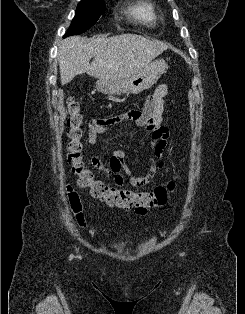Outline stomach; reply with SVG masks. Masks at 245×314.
Segmentation results:
<instances>
[{"instance_id":"obj_1","label":"stomach","mask_w":245,"mask_h":314,"mask_svg":"<svg viewBox=\"0 0 245 314\" xmlns=\"http://www.w3.org/2000/svg\"><path fill=\"white\" fill-rule=\"evenodd\" d=\"M167 64L163 59L150 63L146 68L128 77L117 79H98L96 88L105 95L141 93L152 87L165 73Z\"/></svg>"}]
</instances>
